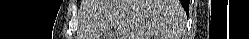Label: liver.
<instances>
[{
    "mask_svg": "<svg viewBox=\"0 0 249 39\" xmlns=\"http://www.w3.org/2000/svg\"><path fill=\"white\" fill-rule=\"evenodd\" d=\"M179 0H84L80 39H176Z\"/></svg>",
    "mask_w": 249,
    "mask_h": 39,
    "instance_id": "6515ba94",
    "label": "liver"
}]
</instances>
